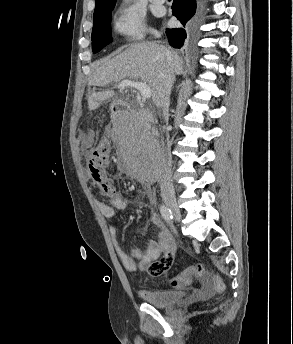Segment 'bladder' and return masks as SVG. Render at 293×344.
I'll return each instance as SVG.
<instances>
[{
    "label": "bladder",
    "mask_w": 293,
    "mask_h": 344,
    "mask_svg": "<svg viewBox=\"0 0 293 344\" xmlns=\"http://www.w3.org/2000/svg\"><path fill=\"white\" fill-rule=\"evenodd\" d=\"M145 301L156 307H167L184 299L185 293L174 289H153L142 291Z\"/></svg>",
    "instance_id": "31cf9c89"
}]
</instances>
